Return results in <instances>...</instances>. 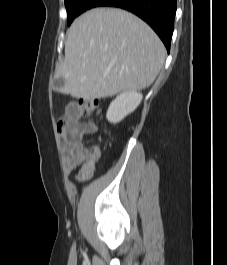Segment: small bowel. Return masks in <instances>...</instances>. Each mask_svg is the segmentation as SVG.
Here are the masks:
<instances>
[{
	"instance_id": "small-bowel-1",
	"label": "small bowel",
	"mask_w": 227,
	"mask_h": 265,
	"mask_svg": "<svg viewBox=\"0 0 227 265\" xmlns=\"http://www.w3.org/2000/svg\"><path fill=\"white\" fill-rule=\"evenodd\" d=\"M69 103L68 111H65L70 125L66 129L63 140L64 153L67 169L69 171L78 170L76 180L83 183L93 175L95 162L99 156V148L94 143L85 147L82 138L84 135L94 134L96 126L90 122L76 123L75 117L80 116L81 105H78L76 99H70Z\"/></svg>"
}]
</instances>
